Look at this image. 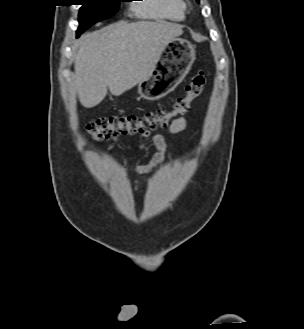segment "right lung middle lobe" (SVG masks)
I'll list each match as a JSON object with an SVG mask.
<instances>
[{"label": "right lung middle lobe", "instance_id": "dd1d6c3e", "mask_svg": "<svg viewBox=\"0 0 304 329\" xmlns=\"http://www.w3.org/2000/svg\"><path fill=\"white\" fill-rule=\"evenodd\" d=\"M82 7L79 10V28L77 37L93 24L113 16L119 8V3L125 0H79Z\"/></svg>", "mask_w": 304, "mask_h": 329}]
</instances>
